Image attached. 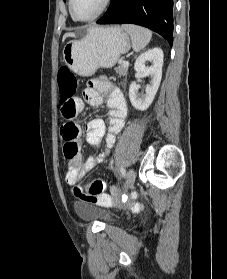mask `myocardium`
<instances>
[{
    "mask_svg": "<svg viewBox=\"0 0 227 279\" xmlns=\"http://www.w3.org/2000/svg\"><path fill=\"white\" fill-rule=\"evenodd\" d=\"M110 3H111V0H102V4H101L99 10L94 15H92L91 17H88V18H78L74 14L73 0H69L68 8H69V12H70L71 17L75 21H77V22H91V21H94V20L98 19L100 16H102L104 14L107 11V9L109 8Z\"/></svg>",
    "mask_w": 227,
    "mask_h": 279,
    "instance_id": "myocardium-1",
    "label": "myocardium"
}]
</instances>
